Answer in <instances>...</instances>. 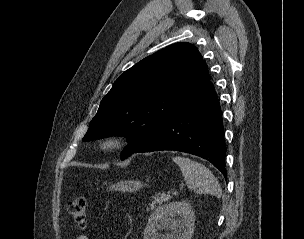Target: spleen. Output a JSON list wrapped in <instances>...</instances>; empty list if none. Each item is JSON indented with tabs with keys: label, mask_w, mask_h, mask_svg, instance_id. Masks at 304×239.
I'll return each instance as SVG.
<instances>
[{
	"label": "spleen",
	"mask_w": 304,
	"mask_h": 239,
	"mask_svg": "<svg viewBox=\"0 0 304 239\" xmlns=\"http://www.w3.org/2000/svg\"><path fill=\"white\" fill-rule=\"evenodd\" d=\"M172 160L179 165L189 189L198 194H211L217 198L221 197L222 190L218 180L203 164L179 156Z\"/></svg>",
	"instance_id": "obj_1"
}]
</instances>
